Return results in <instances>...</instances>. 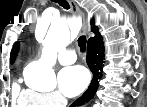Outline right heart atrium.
<instances>
[{
    "instance_id": "obj_1",
    "label": "right heart atrium",
    "mask_w": 147,
    "mask_h": 107,
    "mask_svg": "<svg viewBox=\"0 0 147 107\" xmlns=\"http://www.w3.org/2000/svg\"><path fill=\"white\" fill-rule=\"evenodd\" d=\"M63 102L61 96L55 92L39 93V103L43 107H53Z\"/></svg>"
}]
</instances>
